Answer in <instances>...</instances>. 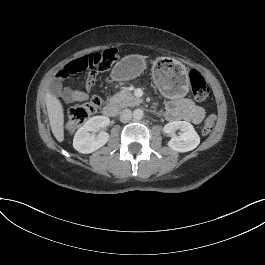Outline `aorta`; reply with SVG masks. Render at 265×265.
<instances>
[{"mask_svg":"<svg viewBox=\"0 0 265 265\" xmlns=\"http://www.w3.org/2000/svg\"><path fill=\"white\" fill-rule=\"evenodd\" d=\"M143 116H144V112H143V110L142 109H135L134 111H133V118L134 119H136V120H140V119H142L143 118Z\"/></svg>","mask_w":265,"mask_h":265,"instance_id":"1","label":"aorta"}]
</instances>
